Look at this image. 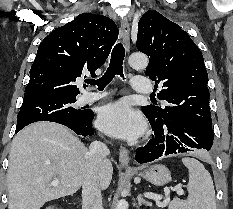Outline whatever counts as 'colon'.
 <instances>
[{
  "label": "colon",
  "mask_w": 233,
  "mask_h": 209,
  "mask_svg": "<svg viewBox=\"0 0 233 209\" xmlns=\"http://www.w3.org/2000/svg\"><path fill=\"white\" fill-rule=\"evenodd\" d=\"M44 209H54V208L51 206H48V207H45Z\"/></svg>",
  "instance_id": "colon-1"
}]
</instances>
